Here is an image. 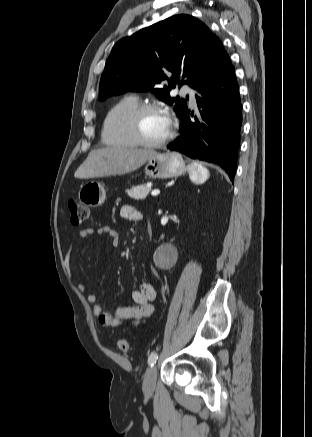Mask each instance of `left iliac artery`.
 <instances>
[{"label":"left iliac artery","mask_w":312,"mask_h":437,"mask_svg":"<svg viewBox=\"0 0 312 437\" xmlns=\"http://www.w3.org/2000/svg\"><path fill=\"white\" fill-rule=\"evenodd\" d=\"M158 359V353L152 352L150 356L148 357V364L152 367Z\"/></svg>","instance_id":"left-iliac-artery-1"}]
</instances>
